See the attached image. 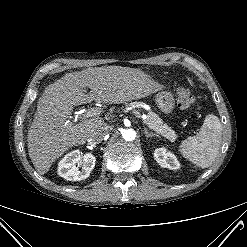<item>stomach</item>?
Returning <instances> with one entry per match:
<instances>
[{
	"mask_svg": "<svg viewBox=\"0 0 247 247\" xmlns=\"http://www.w3.org/2000/svg\"><path fill=\"white\" fill-rule=\"evenodd\" d=\"M156 104L158 108L163 113H170L174 109L175 100L173 95L170 92L162 91L158 93L155 97Z\"/></svg>",
	"mask_w": 247,
	"mask_h": 247,
	"instance_id": "1",
	"label": "stomach"
}]
</instances>
